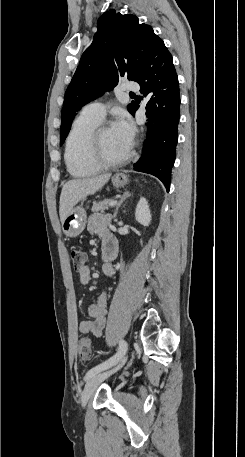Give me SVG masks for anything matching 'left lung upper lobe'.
<instances>
[{"instance_id": "obj_1", "label": "left lung upper lobe", "mask_w": 245, "mask_h": 457, "mask_svg": "<svg viewBox=\"0 0 245 457\" xmlns=\"http://www.w3.org/2000/svg\"><path fill=\"white\" fill-rule=\"evenodd\" d=\"M97 28L93 42L83 53L65 92L60 145L82 106L112 90L120 77L136 81L151 53L163 43L150 25L140 24L135 15H123L115 10L105 12L99 18ZM133 103L128 105V111Z\"/></svg>"}]
</instances>
